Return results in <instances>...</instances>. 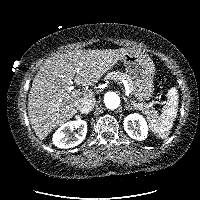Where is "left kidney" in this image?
<instances>
[{
    "instance_id": "obj_1",
    "label": "left kidney",
    "mask_w": 200,
    "mask_h": 200,
    "mask_svg": "<svg viewBox=\"0 0 200 200\" xmlns=\"http://www.w3.org/2000/svg\"><path fill=\"white\" fill-rule=\"evenodd\" d=\"M124 129L132 139L142 141L147 138L149 127L142 115L132 113L124 118Z\"/></svg>"
}]
</instances>
